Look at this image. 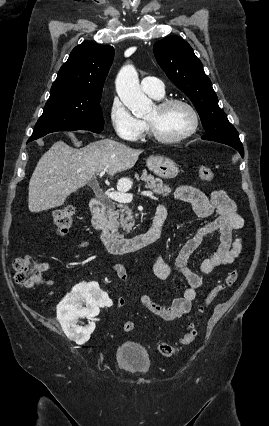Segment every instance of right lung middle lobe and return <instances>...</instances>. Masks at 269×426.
Masks as SVG:
<instances>
[{
	"instance_id": "dd1d6c3e",
	"label": "right lung middle lobe",
	"mask_w": 269,
	"mask_h": 426,
	"mask_svg": "<svg viewBox=\"0 0 269 426\" xmlns=\"http://www.w3.org/2000/svg\"><path fill=\"white\" fill-rule=\"evenodd\" d=\"M100 101L101 95H73L67 92L50 94L29 141L56 131L101 132L104 120Z\"/></svg>"
}]
</instances>
